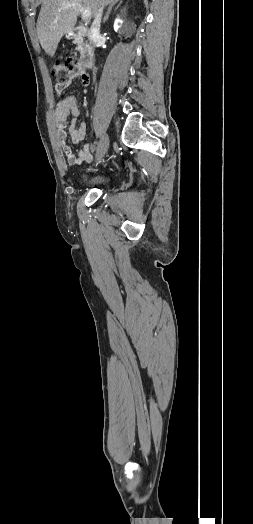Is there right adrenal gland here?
Here are the masks:
<instances>
[{
    "label": "right adrenal gland",
    "mask_w": 253,
    "mask_h": 524,
    "mask_svg": "<svg viewBox=\"0 0 253 524\" xmlns=\"http://www.w3.org/2000/svg\"><path fill=\"white\" fill-rule=\"evenodd\" d=\"M118 1H119V0H116L114 3H112V4L109 6L108 11H107V13H106V15H105V17H104V19H103V23H105V22L108 20L109 14H110V12H111L113 6H114Z\"/></svg>",
    "instance_id": "1"
}]
</instances>
